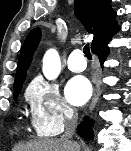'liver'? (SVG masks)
Returning <instances> with one entry per match:
<instances>
[{"label": "liver", "mask_w": 131, "mask_h": 151, "mask_svg": "<svg viewBox=\"0 0 131 151\" xmlns=\"http://www.w3.org/2000/svg\"><path fill=\"white\" fill-rule=\"evenodd\" d=\"M76 143L62 139H40L14 147L13 151H77Z\"/></svg>", "instance_id": "liver-1"}]
</instances>
